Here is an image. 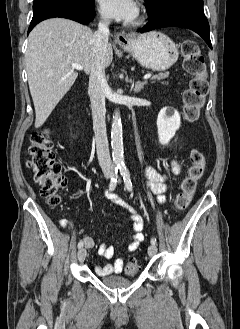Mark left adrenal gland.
Segmentation results:
<instances>
[{"mask_svg": "<svg viewBox=\"0 0 240 329\" xmlns=\"http://www.w3.org/2000/svg\"><path fill=\"white\" fill-rule=\"evenodd\" d=\"M131 83H132V88L134 89V92L139 93L141 91V89L144 87V85L146 84V81H144V82L138 81L135 84L133 81H131Z\"/></svg>", "mask_w": 240, "mask_h": 329, "instance_id": "a2214340", "label": "left adrenal gland"}]
</instances>
